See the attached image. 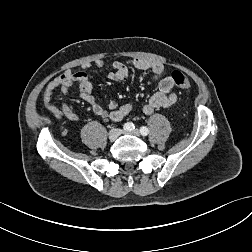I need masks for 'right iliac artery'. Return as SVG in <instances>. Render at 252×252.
<instances>
[{
    "instance_id": "1",
    "label": "right iliac artery",
    "mask_w": 252,
    "mask_h": 252,
    "mask_svg": "<svg viewBox=\"0 0 252 252\" xmlns=\"http://www.w3.org/2000/svg\"><path fill=\"white\" fill-rule=\"evenodd\" d=\"M123 129L125 131H132L133 129H135V126L133 123L127 122L123 125Z\"/></svg>"
}]
</instances>
